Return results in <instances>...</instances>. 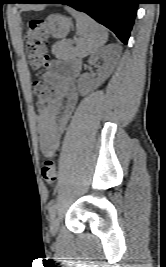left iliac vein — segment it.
Wrapping results in <instances>:
<instances>
[{
	"instance_id": "1",
	"label": "left iliac vein",
	"mask_w": 166,
	"mask_h": 267,
	"mask_svg": "<svg viewBox=\"0 0 166 267\" xmlns=\"http://www.w3.org/2000/svg\"><path fill=\"white\" fill-rule=\"evenodd\" d=\"M58 230H59V218L53 217L50 224V232L54 236L57 234Z\"/></svg>"
}]
</instances>
